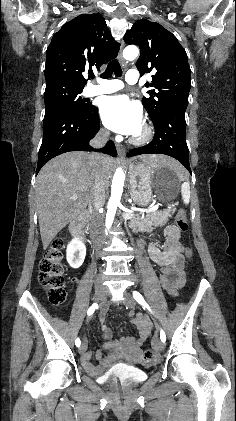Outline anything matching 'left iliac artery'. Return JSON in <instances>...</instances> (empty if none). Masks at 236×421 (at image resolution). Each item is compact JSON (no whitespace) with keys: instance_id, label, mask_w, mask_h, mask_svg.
<instances>
[{"instance_id":"left-iliac-artery-1","label":"left iliac artery","mask_w":236,"mask_h":421,"mask_svg":"<svg viewBox=\"0 0 236 421\" xmlns=\"http://www.w3.org/2000/svg\"><path fill=\"white\" fill-rule=\"evenodd\" d=\"M133 297L144 308H147L150 312H152L149 305L146 303V301L144 300V298L142 297V295L138 291H133ZM160 339H161L162 342L166 341V335H165V333L162 329L160 330Z\"/></svg>"}]
</instances>
